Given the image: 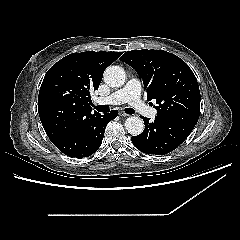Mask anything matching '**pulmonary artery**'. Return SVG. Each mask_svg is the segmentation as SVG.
I'll use <instances>...</instances> for the list:
<instances>
[{"instance_id": "obj_1", "label": "pulmonary artery", "mask_w": 240, "mask_h": 240, "mask_svg": "<svg viewBox=\"0 0 240 240\" xmlns=\"http://www.w3.org/2000/svg\"><path fill=\"white\" fill-rule=\"evenodd\" d=\"M141 83L138 79H130L126 85L111 93L107 97H97L95 102L97 104H121L129 103L134 110L140 114L149 117L155 118L157 111L155 109L149 108L146 103L141 99Z\"/></svg>"}]
</instances>
